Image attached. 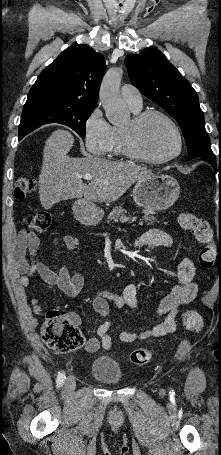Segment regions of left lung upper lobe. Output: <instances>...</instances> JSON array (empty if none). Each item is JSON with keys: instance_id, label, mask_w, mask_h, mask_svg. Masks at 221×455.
I'll list each match as a JSON object with an SVG mask.
<instances>
[{"instance_id": "obj_1", "label": "left lung upper lobe", "mask_w": 221, "mask_h": 455, "mask_svg": "<svg viewBox=\"0 0 221 455\" xmlns=\"http://www.w3.org/2000/svg\"><path fill=\"white\" fill-rule=\"evenodd\" d=\"M132 84L161 106L180 125L191 157H215L204 125L198 96L190 83L156 48L127 55Z\"/></svg>"}]
</instances>
